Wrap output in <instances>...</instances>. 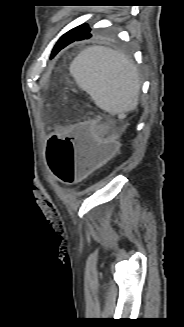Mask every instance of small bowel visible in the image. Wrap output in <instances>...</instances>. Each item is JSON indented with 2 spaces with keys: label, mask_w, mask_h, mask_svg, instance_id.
<instances>
[{
  "label": "small bowel",
  "mask_w": 184,
  "mask_h": 327,
  "mask_svg": "<svg viewBox=\"0 0 184 327\" xmlns=\"http://www.w3.org/2000/svg\"><path fill=\"white\" fill-rule=\"evenodd\" d=\"M78 124H82V123H78ZM68 129H73V125L71 126H67V127H63L61 129H58L54 132L53 135H67V130Z\"/></svg>",
  "instance_id": "small-bowel-1"
}]
</instances>
